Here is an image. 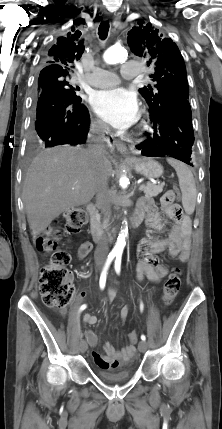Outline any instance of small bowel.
Masks as SVG:
<instances>
[{"mask_svg":"<svg viewBox=\"0 0 222 429\" xmlns=\"http://www.w3.org/2000/svg\"><path fill=\"white\" fill-rule=\"evenodd\" d=\"M164 215L158 211L155 203L149 198H143L137 205L136 212L142 217L146 215L147 226L156 232L162 231L165 227L166 218L174 221L170 235L167 239L146 238L140 241L137 248L138 263L135 268L136 279L142 281L146 276L151 282L161 281L167 274L168 268L162 264L157 254L167 251L171 257H178L180 261H187L191 252V231L192 223L188 215L177 204H162ZM92 244L84 242L77 251L78 259L82 260L91 252ZM116 295V290L110 291L108 300L112 301ZM85 293L82 292L79 297L83 298ZM129 312V306L125 305L120 310L121 321L124 322ZM65 313V310H62ZM83 320L87 324H95L97 318L86 313ZM85 337L91 347H95L98 337L92 330L85 331ZM105 353L100 354L97 351L92 352V357L96 365L102 369L117 368L126 365L135 354L133 345L123 346L117 350L115 347L106 343L104 346Z\"/></svg>","mask_w":222,"mask_h":429,"instance_id":"obj_1","label":"small bowel"}]
</instances>
